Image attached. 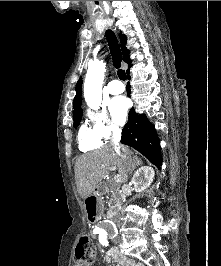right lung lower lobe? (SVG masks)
<instances>
[{
	"label": "right lung lower lobe",
	"instance_id": "1",
	"mask_svg": "<svg viewBox=\"0 0 221 266\" xmlns=\"http://www.w3.org/2000/svg\"><path fill=\"white\" fill-rule=\"evenodd\" d=\"M127 74L129 75V72ZM127 94L130 95L129 88H127ZM128 119L122 130L121 143L135 148L160 168L162 165L161 147L154 125L145 115H137L133 109L129 112Z\"/></svg>",
	"mask_w": 221,
	"mask_h": 266
}]
</instances>
